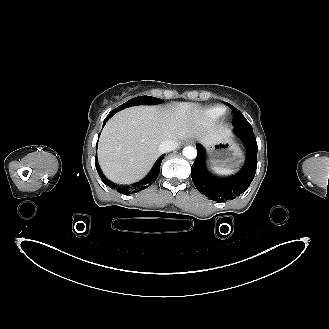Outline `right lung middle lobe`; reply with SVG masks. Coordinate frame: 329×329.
<instances>
[{
	"instance_id": "right-lung-middle-lobe-1",
	"label": "right lung middle lobe",
	"mask_w": 329,
	"mask_h": 329,
	"mask_svg": "<svg viewBox=\"0 0 329 329\" xmlns=\"http://www.w3.org/2000/svg\"><path fill=\"white\" fill-rule=\"evenodd\" d=\"M161 100L155 97H151V96H138L135 97L127 102H125L124 104L120 105L119 107H117L116 109L112 110L110 113L115 114L116 112L125 109L127 107L130 106H136V105H152V104H158L160 103Z\"/></svg>"
}]
</instances>
